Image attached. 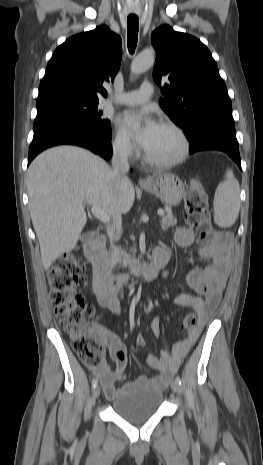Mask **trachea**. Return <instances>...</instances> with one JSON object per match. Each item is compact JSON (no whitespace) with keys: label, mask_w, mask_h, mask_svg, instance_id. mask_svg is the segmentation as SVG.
<instances>
[{"label":"trachea","mask_w":263,"mask_h":465,"mask_svg":"<svg viewBox=\"0 0 263 465\" xmlns=\"http://www.w3.org/2000/svg\"><path fill=\"white\" fill-rule=\"evenodd\" d=\"M127 22V45L129 52L133 54L138 42L139 19L136 16H129Z\"/></svg>","instance_id":"obj_1"}]
</instances>
